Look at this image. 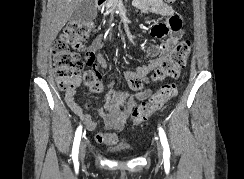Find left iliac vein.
<instances>
[{
  "label": "left iliac vein",
  "mask_w": 244,
  "mask_h": 179,
  "mask_svg": "<svg viewBox=\"0 0 244 179\" xmlns=\"http://www.w3.org/2000/svg\"><path fill=\"white\" fill-rule=\"evenodd\" d=\"M157 150H158V155L160 158H162L163 155V148L160 142L157 143Z\"/></svg>",
  "instance_id": "obj_1"
}]
</instances>
